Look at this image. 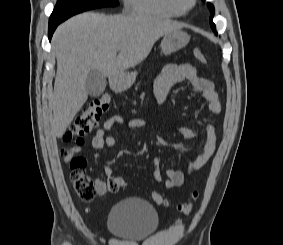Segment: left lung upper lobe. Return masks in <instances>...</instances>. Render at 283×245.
Returning a JSON list of instances; mask_svg holds the SVG:
<instances>
[{"mask_svg": "<svg viewBox=\"0 0 283 245\" xmlns=\"http://www.w3.org/2000/svg\"><path fill=\"white\" fill-rule=\"evenodd\" d=\"M207 6H208V8L210 9V12H211V14H212L211 17H210V19H209L210 25H211L213 31L217 34L216 29H215V24H214L213 21H212L213 16H214V13H215L214 7H213V5L210 4V3H208Z\"/></svg>", "mask_w": 283, "mask_h": 245, "instance_id": "5c2ea615", "label": "left lung upper lobe"}]
</instances>
